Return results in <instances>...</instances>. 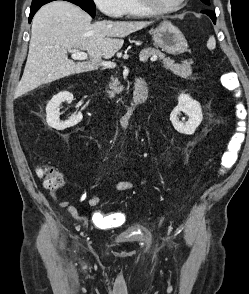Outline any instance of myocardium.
Wrapping results in <instances>:
<instances>
[{"mask_svg":"<svg viewBox=\"0 0 249 294\" xmlns=\"http://www.w3.org/2000/svg\"><path fill=\"white\" fill-rule=\"evenodd\" d=\"M188 0H181L176 6L167 8V9H159L157 8L152 0H138L140 6L152 16H163L171 13H175L182 9Z\"/></svg>","mask_w":249,"mask_h":294,"instance_id":"1","label":"myocardium"}]
</instances>
